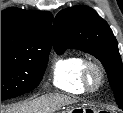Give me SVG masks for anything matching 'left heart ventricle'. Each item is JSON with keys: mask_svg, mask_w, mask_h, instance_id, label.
Masks as SVG:
<instances>
[{"mask_svg": "<svg viewBox=\"0 0 123 113\" xmlns=\"http://www.w3.org/2000/svg\"><path fill=\"white\" fill-rule=\"evenodd\" d=\"M93 80L95 81V80H96V78H95V77H93Z\"/></svg>", "mask_w": 123, "mask_h": 113, "instance_id": "left-heart-ventricle-1", "label": "left heart ventricle"}]
</instances>
